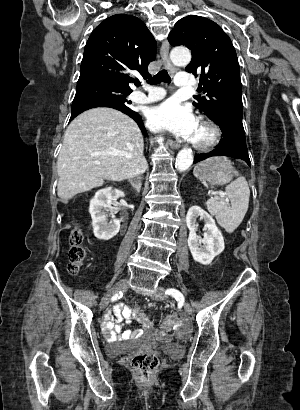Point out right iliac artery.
Here are the masks:
<instances>
[{"mask_svg": "<svg viewBox=\"0 0 300 410\" xmlns=\"http://www.w3.org/2000/svg\"><path fill=\"white\" fill-rule=\"evenodd\" d=\"M123 296V293L122 292H119V293H116L115 295H114V298L115 299H119V298H121Z\"/></svg>", "mask_w": 300, "mask_h": 410, "instance_id": "82829eb1", "label": "right iliac artery"}]
</instances>
